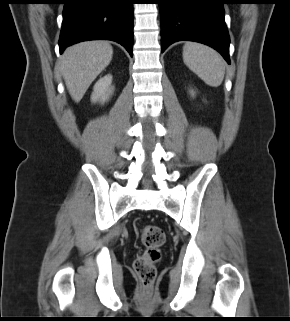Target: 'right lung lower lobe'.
<instances>
[{
	"label": "right lung lower lobe",
	"instance_id": "1",
	"mask_svg": "<svg viewBox=\"0 0 290 321\" xmlns=\"http://www.w3.org/2000/svg\"><path fill=\"white\" fill-rule=\"evenodd\" d=\"M112 40L132 56V0H65L59 38L60 53L87 40Z\"/></svg>",
	"mask_w": 290,
	"mask_h": 321
}]
</instances>
